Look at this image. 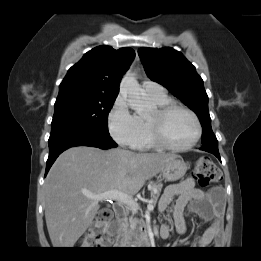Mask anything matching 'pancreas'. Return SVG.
I'll use <instances>...</instances> for the list:
<instances>
[{
  "label": "pancreas",
  "instance_id": "cf45deb5",
  "mask_svg": "<svg viewBox=\"0 0 261 261\" xmlns=\"http://www.w3.org/2000/svg\"><path fill=\"white\" fill-rule=\"evenodd\" d=\"M163 185L161 183H152L151 184V198L153 204H155L160 196ZM136 211H132V215L127 217L128 212H126V216L123 218L122 230L120 232L121 237H132L135 234L137 229V224H140L142 221L138 220L134 217Z\"/></svg>",
  "mask_w": 261,
  "mask_h": 261
}]
</instances>
